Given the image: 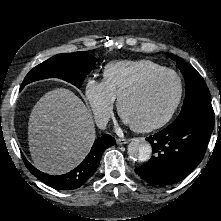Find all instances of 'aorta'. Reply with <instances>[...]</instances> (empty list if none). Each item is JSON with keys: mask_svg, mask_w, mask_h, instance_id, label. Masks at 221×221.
<instances>
[{"mask_svg": "<svg viewBox=\"0 0 221 221\" xmlns=\"http://www.w3.org/2000/svg\"><path fill=\"white\" fill-rule=\"evenodd\" d=\"M127 152L132 160L145 162L151 157L152 147L147 141L137 139L128 144Z\"/></svg>", "mask_w": 221, "mask_h": 221, "instance_id": "762f6f07", "label": "aorta"}]
</instances>
